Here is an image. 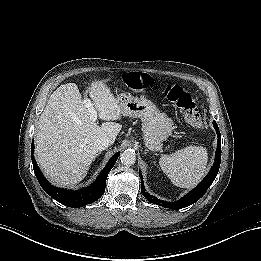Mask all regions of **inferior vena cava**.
Masks as SVG:
<instances>
[{"mask_svg":"<svg viewBox=\"0 0 261 261\" xmlns=\"http://www.w3.org/2000/svg\"><path fill=\"white\" fill-rule=\"evenodd\" d=\"M110 145H111V142L108 138L100 137V138L96 139V141L94 143V149L97 152H101V151L107 149Z\"/></svg>","mask_w":261,"mask_h":261,"instance_id":"inferior-vena-cava-1","label":"inferior vena cava"}]
</instances>
